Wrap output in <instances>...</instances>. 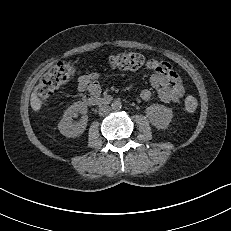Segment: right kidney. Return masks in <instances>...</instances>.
I'll return each instance as SVG.
<instances>
[{"label":"right kidney","instance_id":"1","mask_svg":"<svg viewBox=\"0 0 231 231\" xmlns=\"http://www.w3.org/2000/svg\"><path fill=\"white\" fill-rule=\"evenodd\" d=\"M87 110V106L80 101L69 106L58 124L60 133L68 138L80 136L87 127ZM79 114L83 115L82 119L77 123L72 122L73 118L78 117Z\"/></svg>","mask_w":231,"mask_h":231}]
</instances>
